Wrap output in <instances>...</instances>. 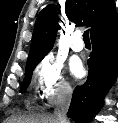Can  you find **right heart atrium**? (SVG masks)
<instances>
[{
	"label": "right heart atrium",
	"instance_id": "d8ad5b80",
	"mask_svg": "<svg viewBox=\"0 0 118 123\" xmlns=\"http://www.w3.org/2000/svg\"><path fill=\"white\" fill-rule=\"evenodd\" d=\"M33 80L39 96L49 106L69 96L72 91L62 64L52 55L45 56L35 66Z\"/></svg>",
	"mask_w": 118,
	"mask_h": 123
}]
</instances>
